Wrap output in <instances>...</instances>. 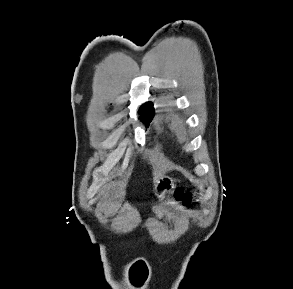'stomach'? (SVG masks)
<instances>
[{
    "instance_id": "1",
    "label": "stomach",
    "mask_w": 293,
    "mask_h": 289,
    "mask_svg": "<svg viewBox=\"0 0 293 289\" xmlns=\"http://www.w3.org/2000/svg\"><path fill=\"white\" fill-rule=\"evenodd\" d=\"M174 189V182L169 177H163L155 185V195L159 200L165 198Z\"/></svg>"
}]
</instances>
